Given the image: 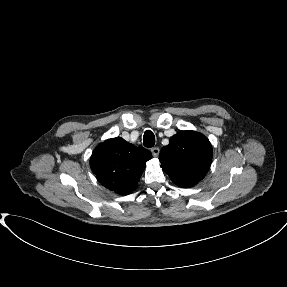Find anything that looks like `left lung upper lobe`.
Returning <instances> with one entry per match:
<instances>
[{"label": "left lung upper lobe", "instance_id": "left-lung-upper-lobe-1", "mask_svg": "<svg viewBox=\"0 0 287 287\" xmlns=\"http://www.w3.org/2000/svg\"><path fill=\"white\" fill-rule=\"evenodd\" d=\"M209 140L195 131H179L159 155L162 169L180 187H192L208 172L212 161Z\"/></svg>", "mask_w": 287, "mask_h": 287}]
</instances>
